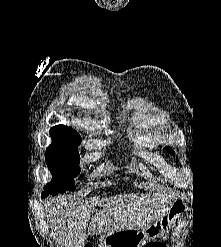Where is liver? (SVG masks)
Masks as SVG:
<instances>
[{
	"label": "liver",
	"mask_w": 221,
	"mask_h": 247,
	"mask_svg": "<svg viewBox=\"0 0 221 247\" xmlns=\"http://www.w3.org/2000/svg\"><path fill=\"white\" fill-rule=\"evenodd\" d=\"M170 199L167 195L150 193L102 199L93 197L85 201L69 197L47 201L45 213L56 231L59 247H84L87 228L89 235H95L147 227L163 215ZM96 205L102 209L90 221Z\"/></svg>",
	"instance_id": "6515ba94"
}]
</instances>
